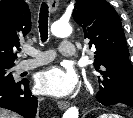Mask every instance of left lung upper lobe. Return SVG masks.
I'll list each match as a JSON object with an SVG mask.
<instances>
[{
  "label": "left lung upper lobe",
  "mask_w": 133,
  "mask_h": 118,
  "mask_svg": "<svg viewBox=\"0 0 133 118\" xmlns=\"http://www.w3.org/2000/svg\"><path fill=\"white\" fill-rule=\"evenodd\" d=\"M73 18L90 39L89 48H96L93 65L102 75L97 100L133 108V67L117 12L106 0H76Z\"/></svg>",
  "instance_id": "5c2ea615"
}]
</instances>
